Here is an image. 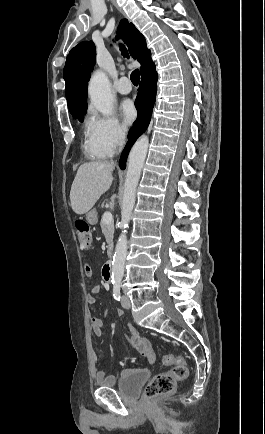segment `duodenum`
Here are the masks:
<instances>
[{
	"instance_id": "obj_1",
	"label": "duodenum",
	"mask_w": 265,
	"mask_h": 434,
	"mask_svg": "<svg viewBox=\"0 0 265 434\" xmlns=\"http://www.w3.org/2000/svg\"><path fill=\"white\" fill-rule=\"evenodd\" d=\"M111 269H112V262L111 261L106 262L103 267V273H102V277L105 282L109 283L111 281Z\"/></svg>"
}]
</instances>
